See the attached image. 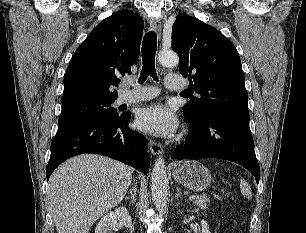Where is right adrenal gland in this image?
<instances>
[{
    "instance_id": "right-adrenal-gland-1",
    "label": "right adrenal gland",
    "mask_w": 306,
    "mask_h": 233,
    "mask_svg": "<svg viewBox=\"0 0 306 233\" xmlns=\"http://www.w3.org/2000/svg\"><path fill=\"white\" fill-rule=\"evenodd\" d=\"M135 196H136V188L133 187L130 189L129 196L125 197V200H130L131 204L133 205L135 204V200H136Z\"/></svg>"
}]
</instances>
